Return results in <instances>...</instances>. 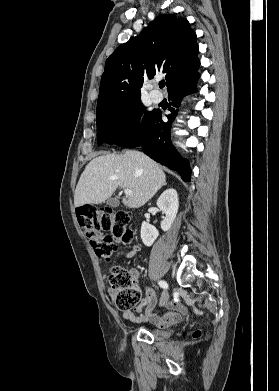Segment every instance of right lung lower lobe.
I'll return each instance as SVG.
<instances>
[{
  "label": "right lung lower lobe",
  "instance_id": "right-lung-lower-lobe-1",
  "mask_svg": "<svg viewBox=\"0 0 279 391\" xmlns=\"http://www.w3.org/2000/svg\"><path fill=\"white\" fill-rule=\"evenodd\" d=\"M198 79L199 73L195 72L169 91L168 99L170 100L169 110L171 113L167 115V122L162 120L160 110H153L141 124L120 137L114 144L127 148L141 145L144 153L155 161L177 171L182 180L189 182L191 174L189 163L175 151L170 139V127L177 115L175 108L180 104L179 100L184 95L197 91L196 82Z\"/></svg>",
  "mask_w": 279,
  "mask_h": 391
}]
</instances>
